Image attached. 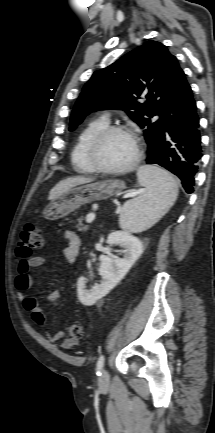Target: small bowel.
<instances>
[{
    "label": "small bowel",
    "instance_id": "c3829d8e",
    "mask_svg": "<svg viewBox=\"0 0 215 433\" xmlns=\"http://www.w3.org/2000/svg\"><path fill=\"white\" fill-rule=\"evenodd\" d=\"M65 238L68 242L67 246L59 249L58 253L64 259V261L70 265L73 264L78 257L81 248V240L73 232H66ZM44 262L45 260L41 256H29L26 258H21L17 268L18 275L15 279V288L22 302L23 308L31 315L32 320L42 328L46 325L42 308L37 302L36 298L25 295V292L33 285V277L30 274V270L42 266ZM58 296V292H54L52 294V297L54 298ZM63 335L64 334L61 331L46 333L47 338L52 342L62 340L61 346L64 349H70L77 345V339H63Z\"/></svg>",
    "mask_w": 215,
    "mask_h": 433
}]
</instances>
